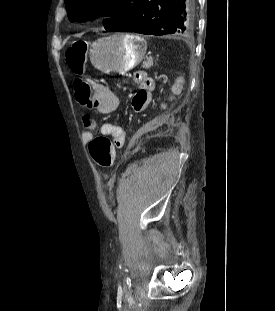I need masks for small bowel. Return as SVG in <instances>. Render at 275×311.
Here are the masks:
<instances>
[{
  "instance_id": "1",
  "label": "small bowel",
  "mask_w": 275,
  "mask_h": 311,
  "mask_svg": "<svg viewBox=\"0 0 275 311\" xmlns=\"http://www.w3.org/2000/svg\"><path fill=\"white\" fill-rule=\"evenodd\" d=\"M176 79L180 78L179 74L175 75ZM133 79L136 82V92H133L132 98V110L133 112H142L144 108H152L153 97L152 93L156 92L155 80L152 79L151 73H144L143 69H136L133 74ZM167 86L171 85L170 81L166 82ZM175 86H170V93H175L176 97L183 93L184 88L188 87V80H175ZM168 102L172 101L171 97L167 98ZM119 107V99L116 94L105 85L94 86V104L93 111L98 115H105L114 112ZM158 107L161 111H164L167 107L166 101H159ZM81 124L83 127V137L86 141H90L93 137V133L97 129V123L94 118L88 114H85L81 118ZM99 131L107 136L111 137L116 146L123 145L125 140L126 124L125 123H112L105 122L100 125Z\"/></svg>"
}]
</instances>
